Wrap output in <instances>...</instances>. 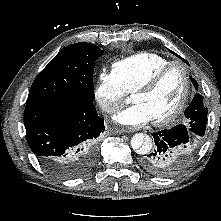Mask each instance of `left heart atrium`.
<instances>
[{"label":"left heart atrium","instance_id":"1","mask_svg":"<svg viewBox=\"0 0 221 221\" xmlns=\"http://www.w3.org/2000/svg\"><path fill=\"white\" fill-rule=\"evenodd\" d=\"M114 120L126 126H142L153 120L149 111L141 104H134L131 107L118 112Z\"/></svg>","mask_w":221,"mask_h":221}]
</instances>
